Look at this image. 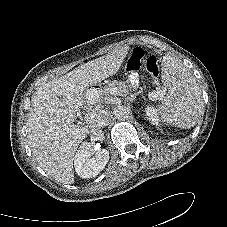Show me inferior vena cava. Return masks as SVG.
<instances>
[{"instance_id":"inferior-vena-cava-1","label":"inferior vena cava","mask_w":227,"mask_h":227,"mask_svg":"<svg viewBox=\"0 0 227 227\" xmlns=\"http://www.w3.org/2000/svg\"><path fill=\"white\" fill-rule=\"evenodd\" d=\"M109 114L105 110L99 111L96 115H93L89 120V127L92 130L101 129L108 122Z\"/></svg>"}]
</instances>
